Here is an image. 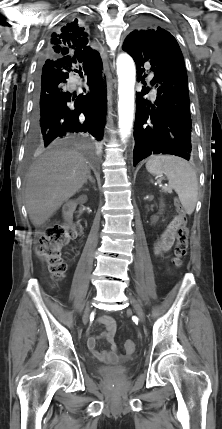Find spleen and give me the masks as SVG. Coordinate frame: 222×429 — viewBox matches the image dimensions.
I'll list each match as a JSON object with an SVG mask.
<instances>
[{"instance_id": "obj_1", "label": "spleen", "mask_w": 222, "mask_h": 429, "mask_svg": "<svg viewBox=\"0 0 222 429\" xmlns=\"http://www.w3.org/2000/svg\"><path fill=\"white\" fill-rule=\"evenodd\" d=\"M146 169L156 176L167 177L170 188L178 194L188 215L195 209L198 197V181L193 168L185 160L171 155H154L146 163Z\"/></svg>"}]
</instances>
